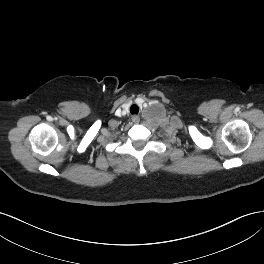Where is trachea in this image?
<instances>
[{"mask_svg":"<svg viewBox=\"0 0 264 264\" xmlns=\"http://www.w3.org/2000/svg\"><path fill=\"white\" fill-rule=\"evenodd\" d=\"M130 112L131 114H138L139 112V107L135 104H133L131 107H130Z\"/></svg>","mask_w":264,"mask_h":264,"instance_id":"3493384b","label":"trachea"}]
</instances>
